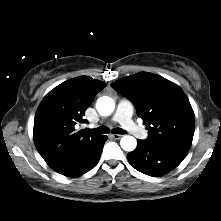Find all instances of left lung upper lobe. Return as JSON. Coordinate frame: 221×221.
I'll return each mask as SVG.
<instances>
[{
  "mask_svg": "<svg viewBox=\"0 0 221 221\" xmlns=\"http://www.w3.org/2000/svg\"><path fill=\"white\" fill-rule=\"evenodd\" d=\"M111 86L133 102L149 130L148 141L190 149L195 116L179 86L148 72L121 78Z\"/></svg>",
  "mask_w": 221,
  "mask_h": 221,
  "instance_id": "5c2ea615",
  "label": "left lung upper lobe"
}]
</instances>
